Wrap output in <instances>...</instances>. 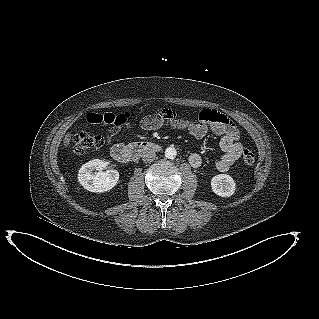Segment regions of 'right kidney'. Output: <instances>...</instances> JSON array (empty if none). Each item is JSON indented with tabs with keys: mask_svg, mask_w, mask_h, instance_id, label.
<instances>
[{
	"mask_svg": "<svg viewBox=\"0 0 319 319\" xmlns=\"http://www.w3.org/2000/svg\"><path fill=\"white\" fill-rule=\"evenodd\" d=\"M106 162L101 159H94L82 165L78 173L79 183L88 191L103 193L111 190L117 185L119 173L116 170H107Z\"/></svg>",
	"mask_w": 319,
	"mask_h": 319,
	"instance_id": "obj_1",
	"label": "right kidney"
}]
</instances>
